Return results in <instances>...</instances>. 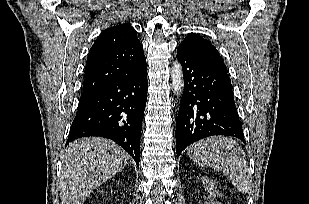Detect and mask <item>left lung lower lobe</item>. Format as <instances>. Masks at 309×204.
I'll use <instances>...</instances> for the list:
<instances>
[{"instance_id":"1","label":"left lung lower lobe","mask_w":309,"mask_h":204,"mask_svg":"<svg viewBox=\"0 0 309 204\" xmlns=\"http://www.w3.org/2000/svg\"><path fill=\"white\" fill-rule=\"evenodd\" d=\"M177 58L184 74L176 126L177 157L208 136L227 135L245 142L228 72L181 49Z\"/></svg>"}]
</instances>
